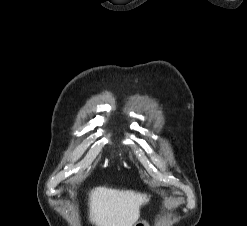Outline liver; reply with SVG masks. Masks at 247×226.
I'll list each match as a JSON object with an SVG mask.
<instances>
[{
    "label": "liver",
    "instance_id": "liver-1",
    "mask_svg": "<svg viewBox=\"0 0 247 226\" xmlns=\"http://www.w3.org/2000/svg\"><path fill=\"white\" fill-rule=\"evenodd\" d=\"M145 194L97 187L89 194V219L95 226H133L140 217Z\"/></svg>",
    "mask_w": 247,
    "mask_h": 226
}]
</instances>
